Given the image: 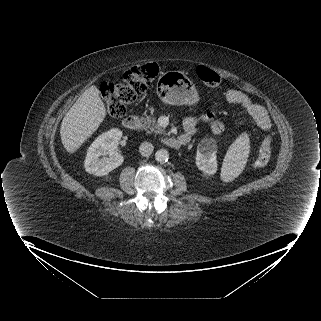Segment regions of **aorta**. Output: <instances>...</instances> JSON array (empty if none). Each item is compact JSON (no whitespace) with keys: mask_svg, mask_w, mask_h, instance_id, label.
Masks as SVG:
<instances>
[{"mask_svg":"<svg viewBox=\"0 0 321 321\" xmlns=\"http://www.w3.org/2000/svg\"><path fill=\"white\" fill-rule=\"evenodd\" d=\"M155 159L156 161L160 162V163H165L168 161L169 159V153L167 150L165 149H159L156 151L155 153Z\"/></svg>","mask_w":321,"mask_h":321,"instance_id":"aorta-1","label":"aorta"}]
</instances>
